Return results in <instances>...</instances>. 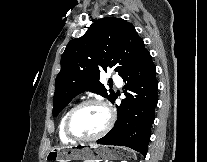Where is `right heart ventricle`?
Wrapping results in <instances>:
<instances>
[{
    "instance_id": "right-heart-ventricle-1",
    "label": "right heart ventricle",
    "mask_w": 207,
    "mask_h": 162,
    "mask_svg": "<svg viewBox=\"0 0 207 162\" xmlns=\"http://www.w3.org/2000/svg\"><path fill=\"white\" fill-rule=\"evenodd\" d=\"M71 110L67 111L61 118L60 120V123H59V127H58V130H59V138L62 142H69L71 140L67 139L64 135V132H63V125H64V121L68 115V113L70 112Z\"/></svg>"
}]
</instances>
